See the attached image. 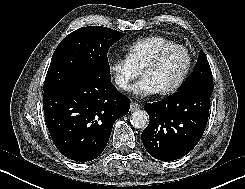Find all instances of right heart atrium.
<instances>
[{
    "mask_svg": "<svg viewBox=\"0 0 245 189\" xmlns=\"http://www.w3.org/2000/svg\"><path fill=\"white\" fill-rule=\"evenodd\" d=\"M108 71L114 85L122 91L129 90L132 82L139 74V71L134 68L126 57L110 59Z\"/></svg>",
    "mask_w": 245,
    "mask_h": 189,
    "instance_id": "d8ad5b80",
    "label": "right heart atrium"
}]
</instances>
